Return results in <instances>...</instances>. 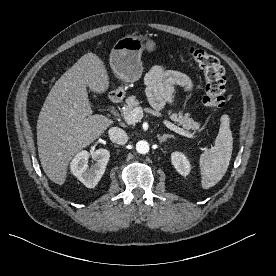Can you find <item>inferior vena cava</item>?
I'll return each mask as SVG.
<instances>
[{
	"label": "inferior vena cava",
	"mask_w": 276,
	"mask_h": 276,
	"mask_svg": "<svg viewBox=\"0 0 276 276\" xmlns=\"http://www.w3.org/2000/svg\"><path fill=\"white\" fill-rule=\"evenodd\" d=\"M108 134L111 141L114 143L123 145L128 141L127 133L119 127L110 128Z\"/></svg>",
	"instance_id": "inferior-vena-cava-1"
}]
</instances>
